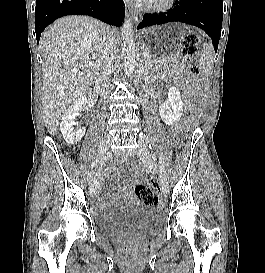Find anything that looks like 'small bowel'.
Here are the masks:
<instances>
[{"instance_id":"obj_1","label":"small bowel","mask_w":265,"mask_h":273,"mask_svg":"<svg viewBox=\"0 0 265 273\" xmlns=\"http://www.w3.org/2000/svg\"><path fill=\"white\" fill-rule=\"evenodd\" d=\"M96 192H97V191H96ZM127 192H128L127 189H124V190L122 191L123 194H126ZM95 206H96L97 208L103 207L102 199H101L99 196H97V198L95 199Z\"/></svg>"}]
</instances>
